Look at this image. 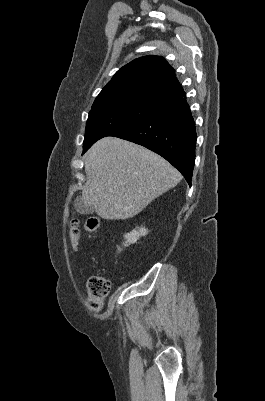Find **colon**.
Returning a JSON list of instances; mask_svg holds the SVG:
<instances>
[{
	"label": "colon",
	"instance_id": "1",
	"mask_svg": "<svg viewBox=\"0 0 265 401\" xmlns=\"http://www.w3.org/2000/svg\"><path fill=\"white\" fill-rule=\"evenodd\" d=\"M100 225L99 218L90 216L85 221V228L89 232H95ZM69 236L74 250L79 247L80 227L79 221L73 219L69 225ZM112 283L109 279L101 275H93L87 282V303L93 311H99L104 299L109 295Z\"/></svg>",
	"mask_w": 265,
	"mask_h": 401
}]
</instances>
